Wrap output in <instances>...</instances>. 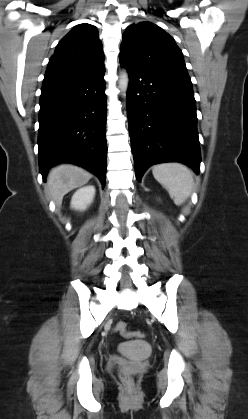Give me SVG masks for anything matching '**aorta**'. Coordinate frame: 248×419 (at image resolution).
Returning <instances> with one entry per match:
<instances>
[{"instance_id":"1","label":"aorta","mask_w":248,"mask_h":419,"mask_svg":"<svg viewBox=\"0 0 248 419\" xmlns=\"http://www.w3.org/2000/svg\"><path fill=\"white\" fill-rule=\"evenodd\" d=\"M118 84L119 88L123 91L125 95L129 85V76L125 69H123L120 73Z\"/></svg>"}]
</instances>
